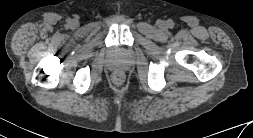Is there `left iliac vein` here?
Returning a JSON list of instances; mask_svg holds the SVG:
<instances>
[{
	"label": "left iliac vein",
	"mask_w": 253,
	"mask_h": 138,
	"mask_svg": "<svg viewBox=\"0 0 253 138\" xmlns=\"http://www.w3.org/2000/svg\"><path fill=\"white\" fill-rule=\"evenodd\" d=\"M159 27L160 28H165L166 27V23L164 21H160L159 22Z\"/></svg>",
	"instance_id": "left-iliac-vein-1"
}]
</instances>
